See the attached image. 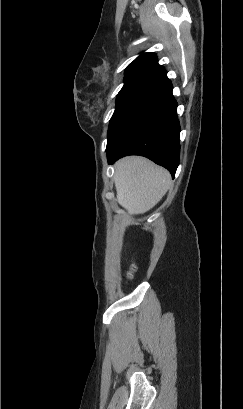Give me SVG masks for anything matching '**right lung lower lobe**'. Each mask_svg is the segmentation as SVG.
<instances>
[{
    "label": "right lung lower lobe",
    "mask_w": 243,
    "mask_h": 409,
    "mask_svg": "<svg viewBox=\"0 0 243 409\" xmlns=\"http://www.w3.org/2000/svg\"><path fill=\"white\" fill-rule=\"evenodd\" d=\"M172 89L166 78L127 118L106 148L110 164L126 155H141L174 177L180 156V125Z\"/></svg>",
    "instance_id": "obj_1"
}]
</instances>
